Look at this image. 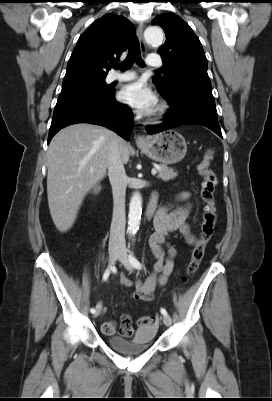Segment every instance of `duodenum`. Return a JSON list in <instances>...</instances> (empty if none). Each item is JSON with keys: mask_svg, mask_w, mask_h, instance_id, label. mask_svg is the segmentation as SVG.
Segmentation results:
<instances>
[{"mask_svg": "<svg viewBox=\"0 0 272 401\" xmlns=\"http://www.w3.org/2000/svg\"><path fill=\"white\" fill-rule=\"evenodd\" d=\"M156 201L157 198L156 196H152L147 204V208H146V217L147 218H151L155 212L156 209Z\"/></svg>", "mask_w": 272, "mask_h": 401, "instance_id": "1", "label": "duodenum"}]
</instances>
